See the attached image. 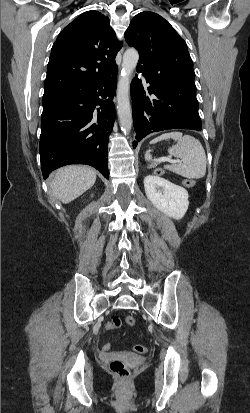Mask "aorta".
I'll use <instances>...</instances> for the list:
<instances>
[{
  "label": "aorta",
  "instance_id": "obj_1",
  "mask_svg": "<svg viewBox=\"0 0 250 413\" xmlns=\"http://www.w3.org/2000/svg\"><path fill=\"white\" fill-rule=\"evenodd\" d=\"M139 60L137 50L130 48L123 55L121 77L117 87V111L121 130L128 134L132 127V113L129 100L130 76Z\"/></svg>",
  "mask_w": 250,
  "mask_h": 413
}]
</instances>
